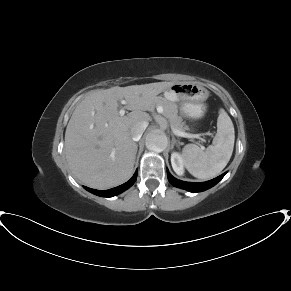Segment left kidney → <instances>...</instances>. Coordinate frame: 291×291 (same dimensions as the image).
Listing matches in <instances>:
<instances>
[{"mask_svg": "<svg viewBox=\"0 0 291 291\" xmlns=\"http://www.w3.org/2000/svg\"><path fill=\"white\" fill-rule=\"evenodd\" d=\"M171 164L174 172L177 175H184V161L182 156L178 152H173L171 154Z\"/></svg>", "mask_w": 291, "mask_h": 291, "instance_id": "5707ae66", "label": "left kidney"}]
</instances>
